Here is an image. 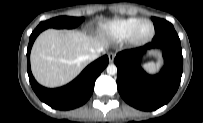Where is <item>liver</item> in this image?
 <instances>
[{
  "label": "liver",
  "instance_id": "6515ba94",
  "mask_svg": "<svg viewBox=\"0 0 203 123\" xmlns=\"http://www.w3.org/2000/svg\"><path fill=\"white\" fill-rule=\"evenodd\" d=\"M108 45L103 35L90 36L75 30H45L32 47V73L43 86H62L84 69L88 54L100 48L104 51Z\"/></svg>",
  "mask_w": 203,
  "mask_h": 123
}]
</instances>
